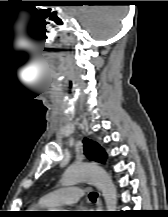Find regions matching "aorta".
Here are the masks:
<instances>
[{
	"label": "aorta",
	"instance_id": "1",
	"mask_svg": "<svg viewBox=\"0 0 168 217\" xmlns=\"http://www.w3.org/2000/svg\"><path fill=\"white\" fill-rule=\"evenodd\" d=\"M80 181H86L96 186L102 192L108 211L116 210L117 189L103 168L92 163L72 165L65 171L61 183L69 186Z\"/></svg>",
	"mask_w": 168,
	"mask_h": 217
}]
</instances>
